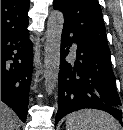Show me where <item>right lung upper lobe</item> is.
<instances>
[{
    "label": "right lung upper lobe",
    "mask_w": 123,
    "mask_h": 130,
    "mask_svg": "<svg viewBox=\"0 0 123 130\" xmlns=\"http://www.w3.org/2000/svg\"><path fill=\"white\" fill-rule=\"evenodd\" d=\"M29 0H1V34L27 29Z\"/></svg>",
    "instance_id": "right-lung-upper-lobe-1"
}]
</instances>
